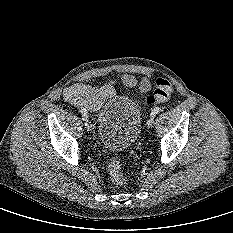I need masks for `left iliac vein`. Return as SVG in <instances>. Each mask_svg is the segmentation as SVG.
Returning <instances> with one entry per match:
<instances>
[{
	"instance_id": "obj_1",
	"label": "left iliac vein",
	"mask_w": 233,
	"mask_h": 233,
	"mask_svg": "<svg viewBox=\"0 0 233 233\" xmlns=\"http://www.w3.org/2000/svg\"><path fill=\"white\" fill-rule=\"evenodd\" d=\"M153 124H154V117H150L146 122V126L148 128H151L153 126Z\"/></svg>"
}]
</instances>
